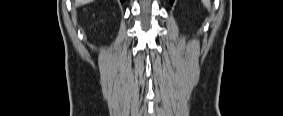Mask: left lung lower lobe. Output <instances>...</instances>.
<instances>
[{"instance_id": "0a47b994", "label": "left lung lower lobe", "mask_w": 283, "mask_h": 116, "mask_svg": "<svg viewBox=\"0 0 283 116\" xmlns=\"http://www.w3.org/2000/svg\"><path fill=\"white\" fill-rule=\"evenodd\" d=\"M171 4H173L174 0H170Z\"/></svg>"}]
</instances>
